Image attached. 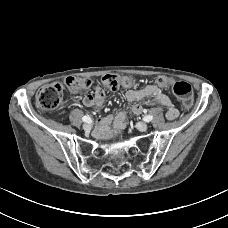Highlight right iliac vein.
<instances>
[{"instance_id":"1","label":"right iliac vein","mask_w":228,"mask_h":228,"mask_svg":"<svg viewBox=\"0 0 228 228\" xmlns=\"http://www.w3.org/2000/svg\"><path fill=\"white\" fill-rule=\"evenodd\" d=\"M83 129H84L85 131H90V130H91V125H90L89 123H85V124L83 125Z\"/></svg>"}]
</instances>
